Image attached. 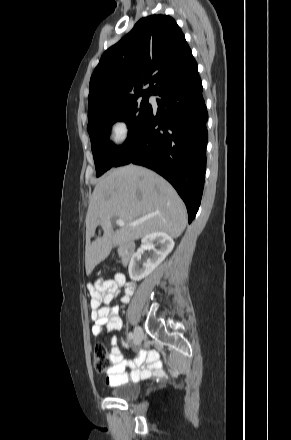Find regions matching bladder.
I'll return each instance as SVG.
<instances>
[{"mask_svg": "<svg viewBox=\"0 0 291 440\" xmlns=\"http://www.w3.org/2000/svg\"><path fill=\"white\" fill-rule=\"evenodd\" d=\"M110 395L119 400L129 401L139 395V388L136 383L128 382L112 388Z\"/></svg>", "mask_w": 291, "mask_h": 440, "instance_id": "31cf9c89", "label": "bladder"}]
</instances>
